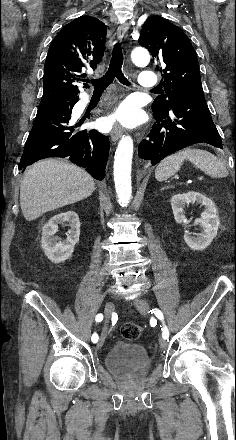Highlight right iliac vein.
Returning <instances> with one entry per match:
<instances>
[{
  "instance_id": "obj_1",
  "label": "right iliac vein",
  "mask_w": 236,
  "mask_h": 440,
  "mask_svg": "<svg viewBox=\"0 0 236 440\" xmlns=\"http://www.w3.org/2000/svg\"><path fill=\"white\" fill-rule=\"evenodd\" d=\"M114 308H115V307H114L113 302H107L106 305H105V309H104V313H105V325H104V328H103L102 334H101L100 339H99V342H98V346H99V347H101V346L104 344V342H105V338H106V334H107V323H108V320H109L111 314H112L113 311H114Z\"/></svg>"
}]
</instances>
